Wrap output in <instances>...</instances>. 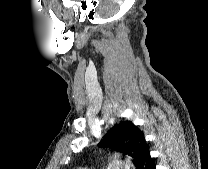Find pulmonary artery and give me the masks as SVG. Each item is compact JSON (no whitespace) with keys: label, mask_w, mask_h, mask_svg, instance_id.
Masks as SVG:
<instances>
[{"label":"pulmonary artery","mask_w":208,"mask_h":169,"mask_svg":"<svg viewBox=\"0 0 208 169\" xmlns=\"http://www.w3.org/2000/svg\"><path fill=\"white\" fill-rule=\"evenodd\" d=\"M79 169H86V167H80ZM107 169H128V167L123 165L120 160H113L110 162Z\"/></svg>","instance_id":"pulmonary-artery-1"}]
</instances>
